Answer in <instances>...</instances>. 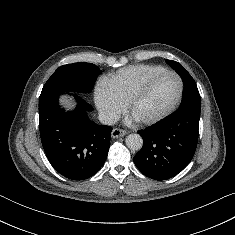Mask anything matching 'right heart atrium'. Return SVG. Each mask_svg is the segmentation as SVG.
I'll use <instances>...</instances> for the list:
<instances>
[{
	"instance_id": "right-heart-atrium-1",
	"label": "right heart atrium",
	"mask_w": 235,
	"mask_h": 235,
	"mask_svg": "<svg viewBox=\"0 0 235 235\" xmlns=\"http://www.w3.org/2000/svg\"><path fill=\"white\" fill-rule=\"evenodd\" d=\"M94 99L99 112L108 121L116 119L123 110V105L113 96L105 84H99L95 88Z\"/></svg>"
}]
</instances>
